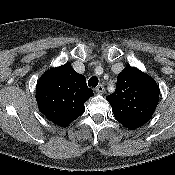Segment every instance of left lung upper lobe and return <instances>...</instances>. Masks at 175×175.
<instances>
[{
  "label": "left lung upper lobe",
  "instance_id": "left-lung-upper-lobe-1",
  "mask_svg": "<svg viewBox=\"0 0 175 175\" xmlns=\"http://www.w3.org/2000/svg\"><path fill=\"white\" fill-rule=\"evenodd\" d=\"M159 94L153 78L128 65L117 76L116 91L106 99L118 122L138 128L151 119Z\"/></svg>",
  "mask_w": 175,
  "mask_h": 175
}]
</instances>
